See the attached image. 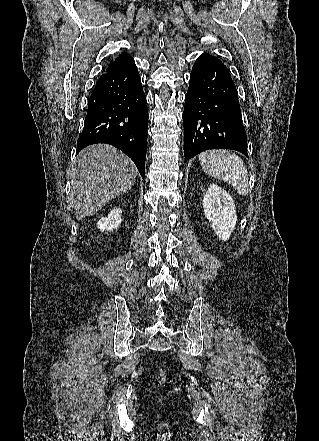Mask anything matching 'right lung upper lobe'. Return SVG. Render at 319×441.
<instances>
[{"instance_id":"obj_1","label":"right lung upper lobe","mask_w":319,"mask_h":441,"mask_svg":"<svg viewBox=\"0 0 319 441\" xmlns=\"http://www.w3.org/2000/svg\"><path fill=\"white\" fill-rule=\"evenodd\" d=\"M132 59L133 58L128 53L122 52L119 57H117L112 63L108 65L107 69L105 70V73L118 68L119 66L123 65L124 63Z\"/></svg>"}]
</instances>
